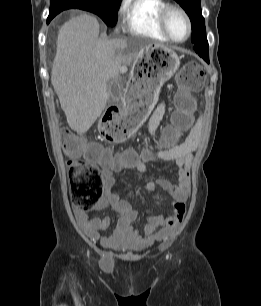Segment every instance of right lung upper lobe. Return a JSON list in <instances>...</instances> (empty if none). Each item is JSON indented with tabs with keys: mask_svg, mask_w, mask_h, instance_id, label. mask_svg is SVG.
Segmentation results:
<instances>
[{
	"mask_svg": "<svg viewBox=\"0 0 261 306\" xmlns=\"http://www.w3.org/2000/svg\"><path fill=\"white\" fill-rule=\"evenodd\" d=\"M55 1H69V2H71V1H76V0H50V2H55Z\"/></svg>",
	"mask_w": 261,
	"mask_h": 306,
	"instance_id": "right-lung-upper-lobe-1",
	"label": "right lung upper lobe"
}]
</instances>
